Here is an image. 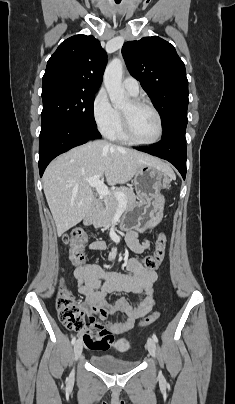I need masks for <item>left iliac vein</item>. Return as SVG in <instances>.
<instances>
[{
  "label": "left iliac vein",
  "mask_w": 235,
  "mask_h": 404,
  "mask_svg": "<svg viewBox=\"0 0 235 404\" xmlns=\"http://www.w3.org/2000/svg\"><path fill=\"white\" fill-rule=\"evenodd\" d=\"M147 349L152 357L156 356V344L152 338H149L147 341Z\"/></svg>",
  "instance_id": "left-iliac-vein-1"
}]
</instances>
